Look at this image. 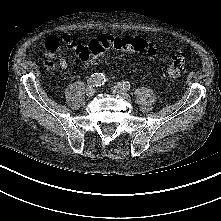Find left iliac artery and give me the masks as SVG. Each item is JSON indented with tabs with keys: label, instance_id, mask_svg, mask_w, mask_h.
Returning <instances> with one entry per match:
<instances>
[{
	"label": "left iliac artery",
	"instance_id": "obj_1",
	"mask_svg": "<svg viewBox=\"0 0 221 221\" xmlns=\"http://www.w3.org/2000/svg\"><path fill=\"white\" fill-rule=\"evenodd\" d=\"M121 85H122L123 89L126 91L130 89V83L128 81L122 82Z\"/></svg>",
	"mask_w": 221,
	"mask_h": 221
}]
</instances>
